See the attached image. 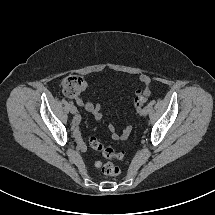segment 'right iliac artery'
Returning <instances> with one entry per match:
<instances>
[{"instance_id": "right-iliac-artery-1", "label": "right iliac artery", "mask_w": 215, "mask_h": 215, "mask_svg": "<svg viewBox=\"0 0 215 215\" xmlns=\"http://www.w3.org/2000/svg\"><path fill=\"white\" fill-rule=\"evenodd\" d=\"M70 106H72L73 105V102L72 101H69V103H68Z\"/></svg>"}]
</instances>
